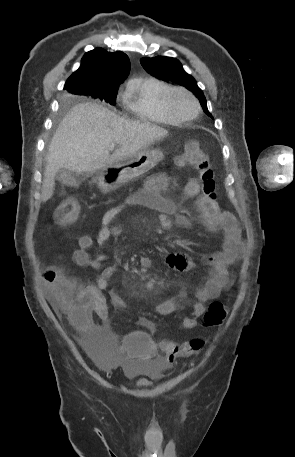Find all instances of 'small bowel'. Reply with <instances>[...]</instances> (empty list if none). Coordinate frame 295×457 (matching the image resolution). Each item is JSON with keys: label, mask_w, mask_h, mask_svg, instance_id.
<instances>
[{"label": "small bowel", "mask_w": 295, "mask_h": 457, "mask_svg": "<svg viewBox=\"0 0 295 457\" xmlns=\"http://www.w3.org/2000/svg\"><path fill=\"white\" fill-rule=\"evenodd\" d=\"M175 184H177L175 177L168 175L152 177L141 190L129 196L120 205L110 209L101 221V227L96 238L97 245L103 248L107 240L121 234V227L113 224V219L125 208L135 205L154 209L164 217L172 216L180 229L189 230L191 225L189 219L177 212L176 205L172 200L161 195V191ZM182 191L186 198L196 200L197 208L206 226L211 231H220L223 234L221 251L205 257L206 264L210 266V276L205 285L196 292V302L193 304L192 315L186 316L182 320L184 329H193L197 326V319L206 311V302L218 298L223 291L231 287L232 283L229 278L228 267L240 256L243 242L241 229L236 218L231 213L220 209L216 201L205 198L196 179L191 178L185 181L182 185ZM93 243L94 239L89 235H83L79 238L78 248L73 253V260L76 265L93 269L102 268L103 263L106 261V256L101 254L93 259L88 253ZM165 262L170 268L177 271H188L194 267L193 261L180 253L167 255ZM140 264L144 267H149L151 259L149 257H141ZM116 271L115 266H107L102 269L95 285L84 286V296L87 300L85 311L76 320L69 318V322L75 329L78 338H108L109 316L104 291H109L111 303L117 310L124 311L129 308L120 293L114 288H109V280ZM44 279L51 303L57 309L60 305L55 295V280L48 273H45ZM183 297L184 295L180 294L178 298ZM178 298H171L157 304L154 307V311L162 316L175 312L178 308ZM92 314L97 315L102 320L103 325L96 324L92 320ZM139 324L151 330V332L155 331L154 323L146 318H140ZM168 364L170 365L171 363Z\"/></svg>", "instance_id": "small-bowel-1"}]
</instances>
